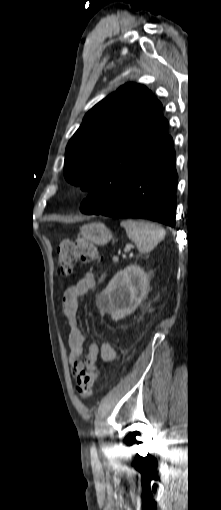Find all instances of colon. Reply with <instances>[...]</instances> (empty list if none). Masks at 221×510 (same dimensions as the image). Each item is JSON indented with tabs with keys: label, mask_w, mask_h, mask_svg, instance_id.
<instances>
[{
	"label": "colon",
	"mask_w": 221,
	"mask_h": 510,
	"mask_svg": "<svg viewBox=\"0 0 221 510\" xmlns=\"http://www.w3.org/2000/svg\"><path fill=\"white\" fill-rule=\"evenodd\" d=\"M99 258L97 248L88 240H64L57 249V269L60 275L68 277L78 262H91ZM98 373L81 371L77 375L76 391L82 398L92 396Z\"/></svg>",
	"instance_id": "colon-1"
}]
</instances>
